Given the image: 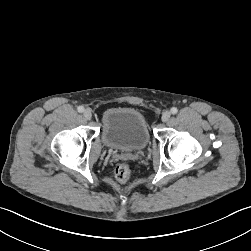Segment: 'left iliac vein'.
I'll use <instances>...</instances> for the list:
<instances>
[{
    "instance_id": "4c4485c4",
    "label": "left iliac vein",
    "mask_w": 251,
    "mask_h": 251,
    "mask_svg": "<svg viewBox=\"0 0 251 251\" xmlns=\"http://www.w3.org/2000/svg\"><path fill=\"white\" fill-rule=\"evenodd\" d=\"M171 113L169 111H165L162 114L161 120L162 122H167L170 119Z\"/></svg>"
}]
</instances>
